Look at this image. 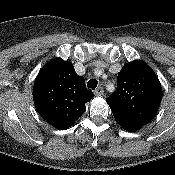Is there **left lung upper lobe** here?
<instances>
[{"mask_svg":"<svg viewBox=\"0 0 175 175\" xmlns=\"http://www.w3.org/2000/svg\"><path fill=\"white\" fill-rule=\"evenodd\" d=\"M116 91L106 99L117 122L143 127L155 116L162 87L154 71L139 60L123 66Z\"/></svg>","mask_w":175,"mask_h":175,"instance_id":"1","label":"left lung upper lobe"}]
</instances>
